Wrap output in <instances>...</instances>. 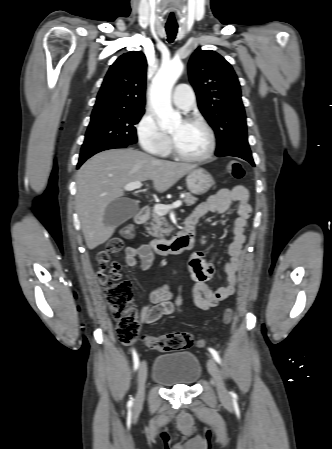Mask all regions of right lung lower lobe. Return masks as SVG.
<instances>
[{"label":"right lung lower lobe","instance_id":"obj_1","mask_svg":"<svg viewBox=\"0 0 332 449\" xmlns=\"http://www.w3.org/2000/svg\"><path fill=\"white\" fill-rule=\"evenodd\" d=\"M127 146L128 145H124V144H106V145H101V146L92 148L90 150L83 151L80 154L77 168H79L84 161H86L88 158H90L91 156H93L94 154H96L98 152L108 150V149H113V148H125Z\"/></svg>","mask_w":332,"mask_h":449}]
</instances>
